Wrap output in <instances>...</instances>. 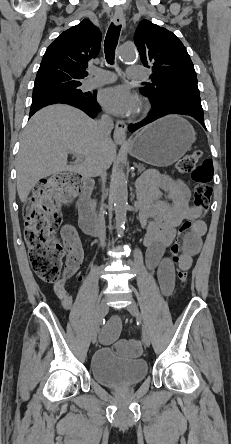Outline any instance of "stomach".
<instances>
[{"label":"stomach","mask_w":231,"mask_h":444,"mask_svg":"<svg viewBox=\"0 0 231 444\" xmlns=\"http://www.w3.org/2000/svg\"><path fill=\"white\" fill-rule=\"evenodd\" d=\"M195 141L191 124L178 115H168L144 127L125 147L137 159L157 167L178 161Z\"/></svg>","instance_id":"stomach-1"}]
</instances>
